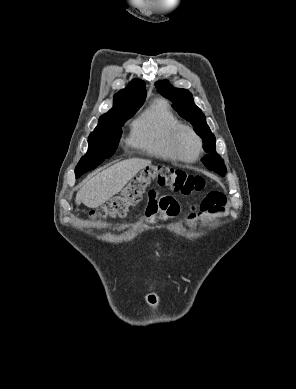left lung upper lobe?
Returning a JSON list of instances; mask_svg holds the SVG:
<instances>
[{"instance_id": "left-lung-upper-lobe-1", "label": "left lung upper lobe", "mask_w": 296, "mask_h": 389, "mask_svg": "<svg viewBox=\"0 0 296 389\" xmlns=\"http://www.w3.org/2000/svg\"><path fill=\"white\" fill-rule=\"evenodd\" d=\"M155 86L160 94L175 104L178 114L187 119L193 125L195 132L203 139L204 150L209 153L202 158L204 165L224 176L226 167L215 150V136L206 123L205 115L194 104L192 94L186 89L173 88L166 80L156 82Z\"/></svg>"}]
</instances>
